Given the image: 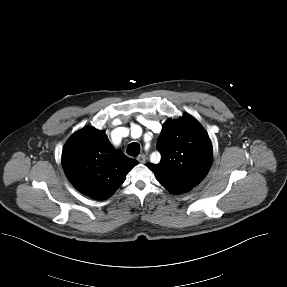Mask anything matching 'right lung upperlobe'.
<instances>
[{"mask_svg": "<svg viewBox=\"0 0 287 287\" xmlns=\"http://www.w3.org/2000/svg\"><path fill=\"white\" fill-rule=\"evenodd\" d=\"M137 164L114 149L103 130L90 126L74 133L62 152V166L69 181L97 200L109 198Z\"/></svg>", "mask_w": 287, "mask_h": 287, "instance_id": "right-lung-upper-lobe-1", "label": "right lung upper lobe"}]
</instances>
